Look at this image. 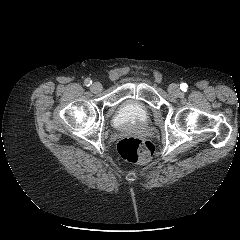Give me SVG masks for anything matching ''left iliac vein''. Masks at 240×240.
I'll return each instance as SVG.
<instances>
[{
  "label": "left iliac vein",
  "instance_id": "4c4485c4",
  "mask_svg": "<svg viewBox=\"0 0 240 240\" xmlns=\"http://www.w3.org/2000/svg\"><path fill=\"white\" fill-rule=\"evenodd\" d=\"M168 91L174 97H180L182 95V92L179 89V86L176 84H171L168 88Z\"/></svg>",
  "mask_w": 240,
  "mask_h": 240
}]
</instances>
